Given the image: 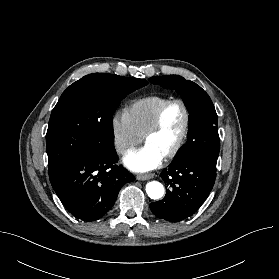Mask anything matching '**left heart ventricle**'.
I'll list each match as a JSON object with an SVG mask.
<instances>
[{
    "label": "left heart ventricle",
    "mask_w": 279,
    "mask_h": 279,
    "mask_svg": "<svg viewBox=\"0 0 279 279\" xmlns=\"http://www.w3.org/2000/svg\"><path fill=\"white\" fill-rule=\"evenodd\" d=\"M184 125V112L179 104L171 105L165 112L162 124L146 144L165 156L177 143Z\"/></svg>",
    "instance_id": "obj_1"
}]
</instances>
